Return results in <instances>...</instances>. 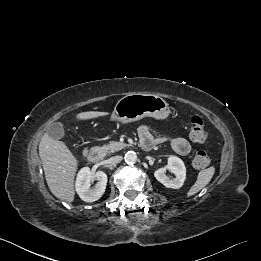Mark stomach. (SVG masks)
<instances>
[{
    "instance_id": "stomach-1",
    "label": "stomach",
    "mask_w": 261,
    "mask_h": 261,
    "mask_svg": "<svg viewBox=\"0 0 261 261\" xmlns=\"http://www.w3.org/2000/svg\"><path fill=\"white\" fill-rule=\"evenodd\" d=\"M169 114V104L162 97L148 93H129L116 103L113 119L129 123L144 117L165 119Z\"/></svg>"
}]
</instances>
